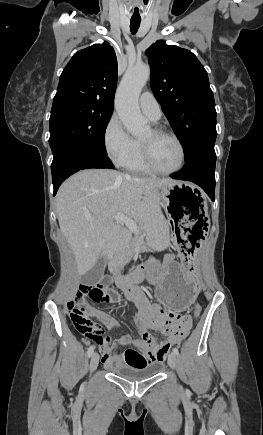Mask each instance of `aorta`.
Masks as SVG:
<instances>
[{"mask_svg":"<svg viewBox=\"0 0 263 435\" xmlns=\"http://www.w3.org/2000/svg\"><path fill=\"white\" fill-rule=\"evenodd\" d=\"M149 77L148 65L129 68L117 90L115 102L117 114L126 130L133 136H141L150 129L138 105L140 92Z\"/></svg>","mask_w":263,"mask_h":435,"instance_id":"1","label":"aorta"}]
</instances>
